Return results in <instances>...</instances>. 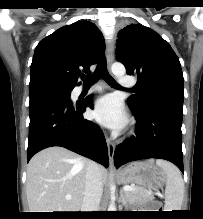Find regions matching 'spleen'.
I'll list each match as a JSON object with an SVG mask.
<instances>
[{
	"instance_id": "1",
	"label": "spleen",
	"mask_w": 203,
	"mask_h": 219,
	"mask_svg": "<svg viewBox=\"0 0 203 219\" xmlns=\"http://www.w3.org/2000/svg\"><path fill=\"white\" fill-rule=\"evenodd\" d=\"M153 163L154 160L150 159ZM156 165L166 173L165 209L166 211L181 210L184 196V182L179 169L165 160H156Z\"/></svg>"
}]
</instances>
